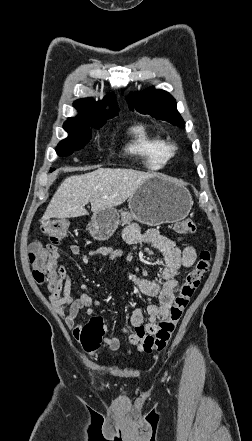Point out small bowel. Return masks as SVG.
Here are the masks:
<instances>
[{
  "instance_id": "obj_1",
  "label": "small bowel",
  "mask_w": 252,
  "mask_h": 441,
  "mask_svg": "<svg viewBox=\"0 0 252 441\" xmlns=\"http://www.w3.org/2000/svg\"><path fill=\"white\" fill-rule=\"evenodd\" d=\"M124 239L132 245L139 243L152 245L161 251L164 256V266L161 272L162 282L151 281L128 273V277L133 285L143 294L155 297L159 301L158 304H151L146 308L147 322L144 328L148 333L152 334L156 330V323L167 317L169 307L172 305L175 294L179 290L178 272L181 268H189L194 264L197 257L196 249L191 245L180 248L169 235L155 228L140 231L134 226L129 227L124 232ZM68 249L73 255L79 256L83 263H88L92 255L107 257L109 261H113L122 255L121 251L106 247L98 248L89 254L82 253L79 246L75 244L69 245ZM58 257L59 253L57 251L54 253L53 258L57 260ZM56 271V277L47 283L49 300L66 327L77 340H80L83 325L76 322L78 313L80 310L85 309L87 316L92 317L95 307H98L100 303L93 300L89 295V287L86 284L80 285L81 294L77 298H73L70 295L71 277L67 269L60 265L56 267ZM143 321L144 315L142 310L135 308L130 317L131 325L137 328L138 326H143ZM121 333L127 336L131 345L136 346L142 351L141 342L136 336L135 330L122 328ZM103 341L111 351L116 352L120 349V341L115 337H105Z\"/></svg>"
}]
</instances>
